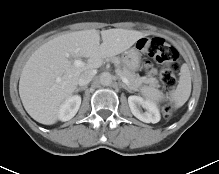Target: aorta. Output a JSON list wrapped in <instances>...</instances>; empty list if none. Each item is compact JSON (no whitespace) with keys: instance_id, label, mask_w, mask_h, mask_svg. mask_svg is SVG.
I'll list each match as a JSON object with an SVG mask.
<instances>
[{"instance_id":"aorta-1","label":"aorta","mask_w":219,"mask_h":174,"mask_svg":"<svg viewBox=\"0 0 219 174\" xmlns=\"http://www.w3.org/2000/svg\"><path fill=\"white\" fill-rule=\"evenodd\" d=\"M99 79L103 86H109L113 81V76L109 72H103Z\"/></svg>"}]
</instances>
